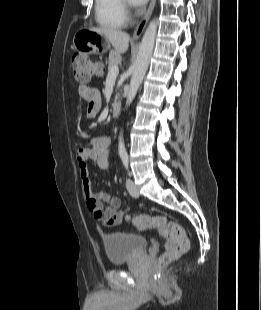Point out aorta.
I'll use <instances>...</instances> for the list:
<instances>
[{
  "label": "aorta",
  "mask_w": 261,
  "mask_h": 310,
  "mask_svg": "<svg viewBox=\"0 0 261 310\" xmlns=\"http://www.w3.org/2000/svg\"><path fill=\"white\" fill-rule=\"evenodd\" d=\"M156 33H157V22L153 20L150 22L143 35L142 41L139 46L138 55L133 65V73L126 99V106H129L134 100L137 91L139 89V86L142 83V80L145 76V73L147 71L153 53ZM118 152L120 156H124L127 154L122 133L119 136Z\"/></svg>",
  "instance_id": "obj_1"
}]
</instances>
